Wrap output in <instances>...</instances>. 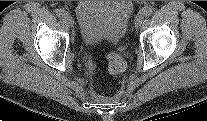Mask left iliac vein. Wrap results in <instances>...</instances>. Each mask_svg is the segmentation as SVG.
Wrapping results in <instances>:
<instances>
[{"label": "left iliac vein", "instance_id": "1", "mask_svg": "<svg viewBox=\"0 0 207 121\" xmlns=\"http://www.w3.org/2000/svg\"><path fill=\"white\" fill-rule=\"evenodd\" d=\"M143 20H144V17L141 13H139L136 17H135V22H134V25H135V28H139L142 23H143Z\"/></svg>", "mask_w": 207, "mask_h": 121}]
</instances>
